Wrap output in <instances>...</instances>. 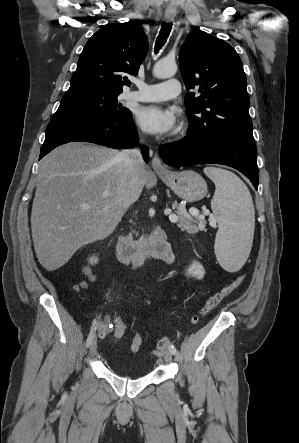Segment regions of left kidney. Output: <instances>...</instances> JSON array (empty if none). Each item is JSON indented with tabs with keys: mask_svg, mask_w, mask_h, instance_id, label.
Instances as JSON below:
<instances>
[{
	"mask_svg": "<svg viewBox=\"0 0 299 443\" xmlns=\"http://www.w3.org/2000/svg\"><path fill=\"white\" fill-rule=\"evenodd\" d=\"M205 275V270L202 264L197 261H193L192 264L187 269V276H192L197 279H202Z\"/></svg>",
	"mask_w": 299,
	"mask_h": 443,
	"instance_id": "left-kidney-1",
	"label": "left kidney"
}]
</instances>
